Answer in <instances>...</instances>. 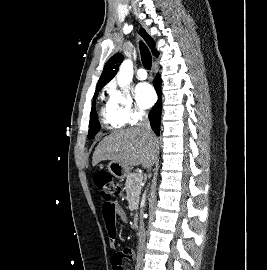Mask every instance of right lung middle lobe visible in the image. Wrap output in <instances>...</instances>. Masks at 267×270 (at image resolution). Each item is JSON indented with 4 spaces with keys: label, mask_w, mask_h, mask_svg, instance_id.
I'll return each mask as SVG.
<instances>
[{
    "label": "right lung middle lobe",
    "mask_w": 267,
    "mask_h": 270,
    "mask_svg": "<svg viewBox=\"0 0 267 270\" xmlns=\"http://www.w3.org/2000/svg\"><path fill=\"white\" fill-rule=\"evenodd\" d=\"M99 92L100 91H96L94 94V101L92 103L91 114H90L88 139H92L100 129V124H99L98 116L95 109V99Z\"/></svg>",
    "instance_id": "dd1d6c3e"
}]
</instances>
